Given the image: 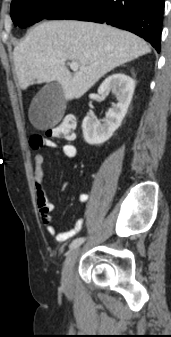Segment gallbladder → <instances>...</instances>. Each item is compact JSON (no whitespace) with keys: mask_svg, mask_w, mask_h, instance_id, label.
Listing matches in <instances>:
<instances>
[{"mask_svg":"<svg viewBox=\"0 0 171 337\" xmlns=\"http://www.w3.org/2000/svg\"><path fill=\"white\" fill-rule=\"evenodd\" d=\"M65 107L66 100L61 85L49 83L33 98L29 110L30 121L39 129L52 127L61 120Z\"/></svg>","mask_w":171,"mask_h":337,"instance_id":"obj_1","label":"gallbladder"}]
</instances>
